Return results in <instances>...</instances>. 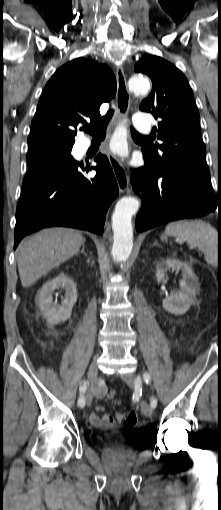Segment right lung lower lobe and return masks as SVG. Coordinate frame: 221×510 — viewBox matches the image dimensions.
I'll use <instances>...</instances> for the list:
<instances>
[{"mask_svg":"<svg viewBox=\"0 0 221 510\" xmlns=\"http://www.w3.org/2000/svg\"><path fill=\"white\" fill-rule=\"evenodd\" d=\"M97 166L82 162L69 174L42 175L23 183L16 209L14 249L20 240L45 227L65 226L102 234L106 212L118 196V185L106 156ZM95 169L93 178H86Z\"/></svg>","mask_w":221,"mask_h":510,"instance_id":"98d812e1","label":"right lung lower lobe"}]
</instances>
